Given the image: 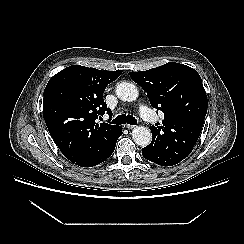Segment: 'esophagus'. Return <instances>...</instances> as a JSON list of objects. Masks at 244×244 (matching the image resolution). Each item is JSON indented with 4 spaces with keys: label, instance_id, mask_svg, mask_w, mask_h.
Instances as JSON below:
<instances>
[{
    "label": "esophagus",
    "instance_id": "1",
    "mask_svg": "<svg viewBox=\"0 0 244 244\" xmlns=\"http://www.w3.org/2000/svg\"><path fill=\"white\" fill-rule=\"evenodd\" d=\"M135 127H136L135 125L126 124V128H128V129H133Z\"/></svg>",
    "mask_w": 244,
    "mask_h": 244
}]
</instances>
